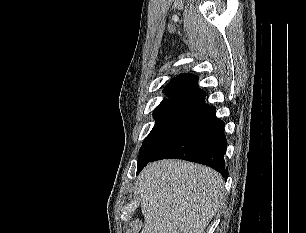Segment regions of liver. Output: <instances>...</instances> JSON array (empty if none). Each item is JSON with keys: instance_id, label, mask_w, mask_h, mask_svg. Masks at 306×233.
<instances>
[{"instance_id": "1", "label": "liver", "mask_w": 306, "mask_h": 233, "mask_svg": "<svg viewBox=\"0 0 306 233\" xmlns=\"http://www.w3.org/2000/svg\"><path fill=\"white\" fill-rule=\"evenodd\" d=\"M137 189L141 233H204L223 200V179L213 169L178 160L148 164Z\"/></svg>"}]
</instances>
